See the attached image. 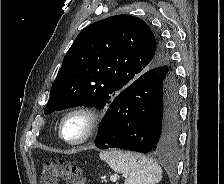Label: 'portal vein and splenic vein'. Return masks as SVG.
Masks as SVG:
<instances>
[{"instance_id":"18ae733b","label":"portal vein and splenic vein","mask_w":224,"mask_h":184,"mask_svg":"<svg viewBox=\"0 0 224 184\" xmlns=\"http://www.w3.org/2000/svg\"><path fill=\"white\" fill-rule=\"evenodd\" d=\"M118 178H119L118 176L113 175V176L110 177V180H111L112 182H116Z\"/></svg>"}]
</instances>
